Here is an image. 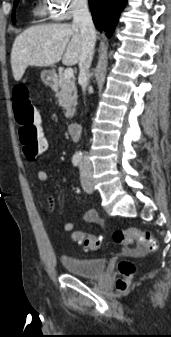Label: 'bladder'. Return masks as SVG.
I'll return each instance as SVG.
<instances>
[{
  "label": "bladder",
  "instance_id": "bladder-1",
  "mask_svg": "<svg viewBox=\"0 0 171 337\" xmlns=\"http://www.w3.org/2000/svg\"><path fill=\"white\" fill-rule=\"evenodd\" d=\"M62 264L68 274L83 278H98L106 269V260L103 258H82L71 255L62 257Z\"/></svg>",
  "mask_w": 171,
  "mask_h": 337
}]
</instances>
